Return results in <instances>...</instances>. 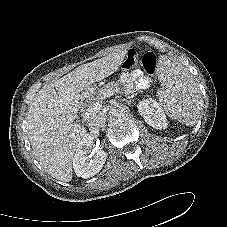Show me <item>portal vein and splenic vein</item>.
Returning <instances> with one entry per match:
<instances>
[{
    "instance_id": "18ae733b",
    "label": "portal vein and splenic vein",
    "mask_w": 227,
    "mask_h": 227,
    "mask_svg": "<svg viewBox=\"0 0 227 227\" xmlns=\"http://www.w3.org/2000/svg\"><path fill=\"white\" fill-rule=\"evenodd\" d=\"M111 95H112L111 91H108L107 93L104 94V97H108ZM101 103H102L101 101L95 102L92 106H90L87 109L86 115L89 116L91 114L98 112V110H100V108H101Z\"/></svg>"
}]
</instances>
